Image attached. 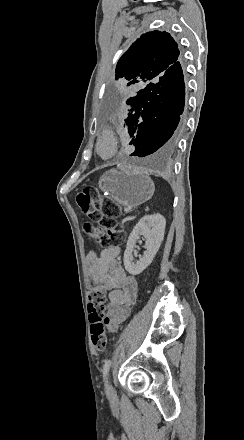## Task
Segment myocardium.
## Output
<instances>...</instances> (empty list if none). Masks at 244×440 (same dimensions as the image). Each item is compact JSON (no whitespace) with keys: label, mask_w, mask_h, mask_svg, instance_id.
<instances>
[{"label":"myocardium","mask_w":244,"mask_h":440,"mask_svg":"<svg viewBox=\"0 0 244 440\" xmlns=\"http://www.w3.org/2000/svg\"><path fill=\"white\" fill-rule=\"evenodd\" d=\"M113 148L112 134L108 131H103L96 136V153L102 160H108L111 157Z\"/></svg>","instance_id":"myocardium-1"}]
</instances>
